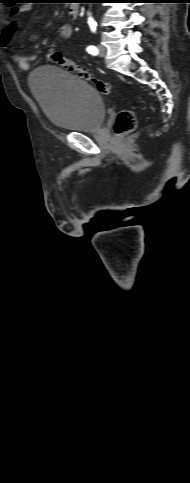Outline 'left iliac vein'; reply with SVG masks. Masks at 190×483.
<instances>
[{"label":"left iliac vein","mask_w":190,"mask_h":483,"mask_svg":"<svg viewBox=\"0 0 190 483\" xmlns=\"http://www.w3.org/2000/svg\"><path fill=\"white\" fill-rule=\"evenodd\" d=\"M98 51H99V55L101 57L105 56L106 50H105V47L103 45H98Z\"/></svg>","instance_id":"obj_1"}]
</instances>
